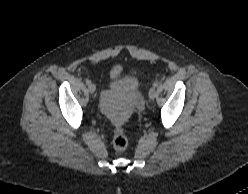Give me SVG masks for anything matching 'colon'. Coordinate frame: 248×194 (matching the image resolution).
Masks as SVG:
<instances>
[{"mask_svg":"<svg viewBox=\"0 0 248 194\" xmlns=\"http://www.w3.org/2000/svg\"><path fill=\"white\" fill-rule=\"evenodd\" d=\"M112 143L114 149L119 153H122L127 149L128 140L124 130L121 127L114 130Z\"/></svg>","mask_w":248,"mask_h":194,"instance_id":"5ec220e1","label":"colon"}]
</instances>
